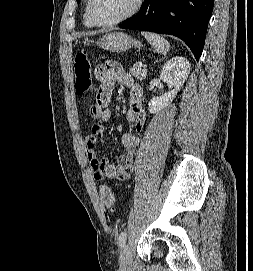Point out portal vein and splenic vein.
<instances>
[{
    "label": "portal vein and splenic vein",
    "instance_id": "1",
    "mask_svg": "<svg viewBox=\"0 0 253 271\" xmlns=\"http://www.w3.org/2000/svg\"><path fill=\"white\" fill-rule=\"evenodd\" d=\"M138 66L142 67L143 66L142 62H138Z\"/></svg>",
    "mask_w": 253,
    "mask_h": 271
}]
</instances>
